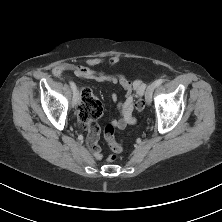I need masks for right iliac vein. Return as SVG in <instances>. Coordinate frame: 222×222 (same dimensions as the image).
I'll use <instances>...</instances> for the list:
<instances>
[{
  "label": "right iliac vein",
  "instance_id": "right-iliac-vein-1",
  "mask_svg": "<svg viewBox=\"0 0 222 222\" xmlns=\"http://www.w3.org/2000/svg\"><path fill=\"white\" fill-rule=\"evenodd\" d=\"M79 99H80V96H79V91H75L74 92V95H73V105H77L79 103Z\"/></svg>",
  "mask_w": 222,
  "mask_h": 222
}]
</instances>
